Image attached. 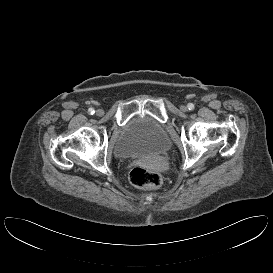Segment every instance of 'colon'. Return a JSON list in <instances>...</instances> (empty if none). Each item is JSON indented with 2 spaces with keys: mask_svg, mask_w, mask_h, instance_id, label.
<instances>
[{
  "mask_svg": "<svg viewBox=\"0 0 273 273\" xmlns=\"http://www.w3.org/2000/svg\"><path fill=\"white\" fill-rule=\"evenodd\" d=\"M129 180L133 186L145 190L157 189L163 183L161 174L143 166H135L129 173Z\"/></svg>",
  "mask_w": 273,
  "mask_h": 273,
  "instance_id": "obj_1",
  "label": "colon"
}]
</instances>
